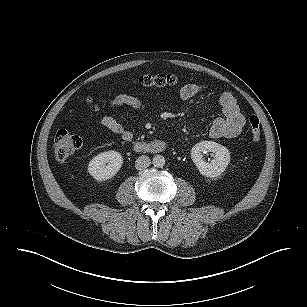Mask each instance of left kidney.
Returning <instances> with one entry per match:
<instances>
[{"mask_svg":"<svg viewBox=\"0 0 307 307\" xmlns=\"http://www.w3.org/2000/svg\"><path fill=\"white\" fill-rule=\"evenodd\" d=\"M214 153V159L206 162L202 153ZM191 158L199 172L209 178L219 177L230 163V152L221 144L213 141H202L195 144L191 150Z\"/></svg>","mask_w":307,"mask_h":307,"instance_id":"left-kidney-1","label":"left kidney"}]
</instances>
